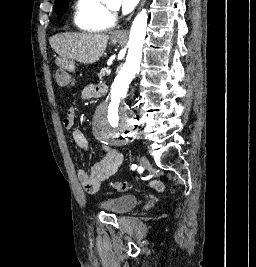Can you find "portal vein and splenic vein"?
<instances>
[{"instance_id": "obj_1", "label": "portal vein and splenic vein", "mask_w": 256, "mask_h": 267, "mask_svg": "<svg viewBox=\"0 0 256 267\" xmlns=\"http://www.w3.org/2000/svg\"><path fill=\"white\" fill-rule=\"evenodd\" d=\"M105 73H106V74H109V73H110V68H107V69L105 70Z\"/></svg>"}]
</instances>
